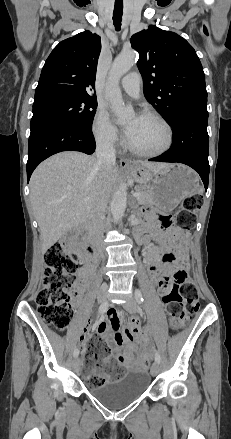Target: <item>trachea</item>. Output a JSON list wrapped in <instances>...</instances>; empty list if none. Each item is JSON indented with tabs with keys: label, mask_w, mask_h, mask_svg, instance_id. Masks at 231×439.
Segmentation results:
<instances>
[{
	"label": "trachea",
	"mask_w": 231,
	"mask_h": 439,
	"mask_svg": "<svg viewBox=\"0 0 231 439\" xmlns=\"http://www.w3.org/2000/svg\"><path fill=\"white\" fill-rule=\"evenodd\" d=\"M122 15H123V4L116 2L113 11V23L116 31H120Z\"/></svg>",
	"instance_id": "3493384b"
}]
</instances>
